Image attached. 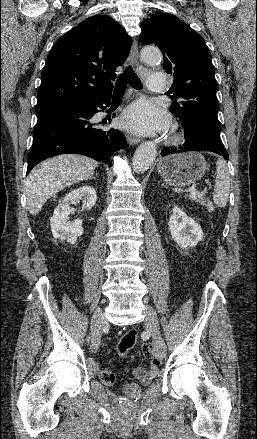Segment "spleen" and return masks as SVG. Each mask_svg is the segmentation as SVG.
I'll return each mask as SVG.
<instances>
[{"label": "spleen", "mask_w": 257, "mask_h": 439, "mask_svg": "<svg viewBox=\"0 0 257 439\" xmlns=\"http://www.w3.org/2000/svg\"><path fill=\"white\" fill-rule=\"evenodd\" d=\"M230 193V174L225 161L216 162V180L213 192V201L219 208L225 207Z\"/></svg>", "instance_id": "3e777b00"}]
</instances>
